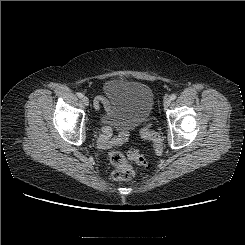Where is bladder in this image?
Segmentation results:
<instances>
[{
	"label": "bladder",
	"instance_id": "bladder-1",
	"mask_svg": "<svg viewBox=\"0 0 245 245\" xmlns=\"http://www.w3.org/2000/svg\"><path fill=\"white\" fill-rule=\"evenodd\" d=\"M107 89L110 99L101 115L103 123L137 126L150 116L154 97L146 84L117 79Z\"/></svg>",
	"mask_w": 245,
	"mask_h": 245
}]
</instances>
